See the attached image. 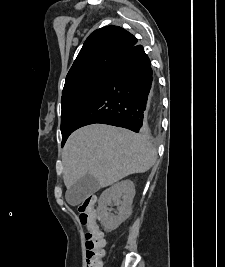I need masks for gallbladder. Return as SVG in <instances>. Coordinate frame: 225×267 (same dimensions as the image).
Returning a JSON list of instances; mask_svg holds the SVG:
<instances>
[{"mask_svg": "<svg viewBox=\"0 0 225 267\" xmlns=\"http://www.w3.org/2000/svg\"><path fill=\"white\" fill-rule=\"evenodd\" d=\"M99 189L100 185L97 179L86 174L66 191V200L70 205L76 206Z\"/></svg>", "mask_w": 225, "mask_h": 267, "instance_id": "gallbladder-1", "label": "gallbladder"}]
</instances>
